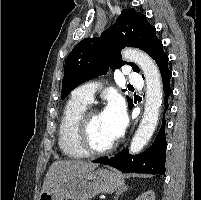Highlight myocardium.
Returning <instances> with one entry per match:
<instances>
[{
	"label": "myocardium",
	"instance_id": "f54148a6",
	"mask_svg": "<svg viewBox=\"0 0 201 200\" xmlns=\"http://www.w3.org/2000/svg\"><path fill=\"white\" fill-rule=\"evenodd\" d=\"M100 114V111L96 108H88L84 111V113L78 119L76 130H75V138L78 147L86 154V155H103L113 151L116 147V142L114 141L107 147L96 149L93 148L87 139V130L88 125L92 117Z\"/></svg>",
	"mask_w": 201,
	"mask_h": 200
}]
</instances>
